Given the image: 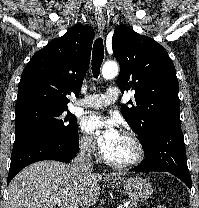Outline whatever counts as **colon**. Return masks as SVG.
I'll list each match as a JSON object with an SVG mask.
<instances>
[{
    "mask_svg": "<svg viewBox=\"0 0 199 208\" xmlns=\"http://www.w3.org/2000/svg\"><path fill=\"white\" fill-rule=\"evenodd\" d=\"M157 208H167V207H165V206H158Z\"/></svg>",
    "mask_w": 199,
    "mask_h": 208,
    "instance_id": "obj_1",
    "label": "colon"
}]
</instances>
